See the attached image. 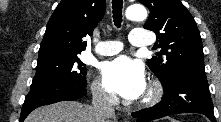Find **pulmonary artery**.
Returning <instances> with one entry per match:
<instances>
[{
	"label": "pulmonary artery",
	"instance_id": "pulmonary-artery-1",
	"mask_svg": "<svg viewBox=\"0 0 221 122\" xmlns=\"http://www.w3.org/2000/svg\"><path fill=\"white\" fill-rule=\"evenodd\" d=\"M128 40L131 45L136 47H145L151 44L149 37L140 29H134L130 32ZM123 44L120 41H103L100 42L95 51L104 56L114 55L120 52Z\"/></svg>",
	"mask_w": 221,
	"mask_h": 122
}]
</instances>
